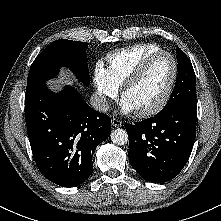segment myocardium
<instances>
[{"label":"myocardium","instance_id":"obj_1","mask_svg":"<svg viewBox=\"0 0 221 221\" xmlns=\"http://www.w3.org/2000/svg\"><path fill=\"white\" fill-rule=\"evenodd\" d=\"M161 56H167L172 62L173 73L171 76V80H170L164 94L162 95V97L160 98V100L156 104H154L153 106H151L149 108L137 111L138 115L143 116V117L157 114L169 102V100L173 94L174 88L176 86V82H177L178 75H179V67H178V63H177L176 58L171 53H169L167 51H161V50L149 54L129 73V75L123 81L121 88H120L121 97L124 98L126 91L139 79V77L145 72V70L148 68V66L155 59H157Z\"/></svg>","mask_w":221,"mask_h":221}]
</instances>
